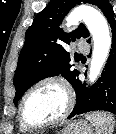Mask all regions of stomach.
I'll use <instances>...</instances> for the list:
<instances>
[{
    "mask_svg": "<svg viewBox=\"0 0 116 134\" xmlns=\"http://www.w3.org/2000/svg\"><path fill=\"white\" fill-rule=\"evenodd\" d=\"M58 134H92V126L85 120H75L67 123Z\"/></svg>",
    "mask_w": 116,
    "mask_h": 134,
    "instance_id": "obj_1",
    "label": "stomach"
}]
</instances>
